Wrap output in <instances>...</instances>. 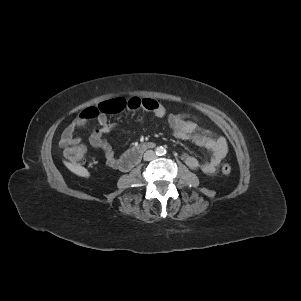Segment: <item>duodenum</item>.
I'll use <instances>...</instances> for the list:
<instances>
[{
    "instance_id": "1",
    "label": "duodenum",
    "mask_w": 301,
    "mask_h": 301,
    "mask_svg": "<svg viewBox=\"0 0 301 301\" xmlns=\"http://www.w3.org/2000/svg\"><path fill=\"white\" fill-rule=\"evenodd\" d=\"M152 147H153L152 143H143L130 149L128 152H126L123 155L122 169L123 170L131 169L134 165H136L140 161L143 153Z\"/></svg>"
}]
</instances>
